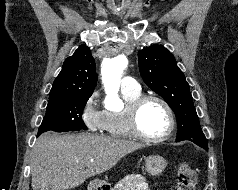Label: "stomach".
<instances>
[{"label":"stomach","instance_id":"stomach-1","mask_svg":"<svg viewBox=\"0 0 238 190\" xmlns=\"http://www.w3.org/2000/svg\"><path fill=\"white\" fill-rule=\"evenodd\" d=\"M166 166V160L159 155H150L145 159V170L152 177L161 175ZM101 185L102 182L99 180H95L91 183V186L94 188L100 187Z\"/></svg>","mask_w":238,"mask_h":190}]
</instances>
